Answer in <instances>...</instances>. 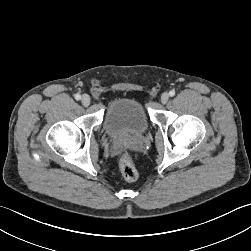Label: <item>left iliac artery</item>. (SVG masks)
<instances>
[{"mask_svg":"<svg viewBox=\"0 0 251 251\" xmlns=\"http://www.w3.org/2000/svg\"><path fill=\"white\" fill-rule=\"evenodd\" d=\"M169 95L173 97L175 95V91L174 90L169 91Z\"/></svg>","mask_w":251,"mask_h":251,"instance_id":"44dca946","label":"left iliac artery"}]
</instances>
